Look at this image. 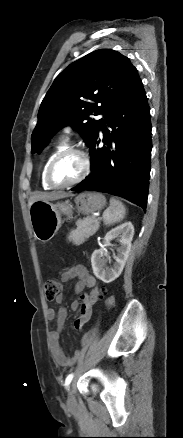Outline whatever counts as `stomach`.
Here are the masks:
<instances>
[{
  "mask_svg": "<svg viewBox=\"0 0 183 438\" xmlns=\"http://www.w3.org/2000/svg\"><path fill=\"white\" fill-rule=\"evenodd\" d=\"M79 212L89 214L102 209L106 199L102 194L85 192L75 198ZM72 215V208L68 201L51 203L38 200L29 206V218L34 237L42 243L50 241L62 225L61 216Z\"/></svg>",
  "mask_w": 183,
  "mask_h": 438,
  "instance_id": "1",
  "label": "stomach"
}]
</instances>
